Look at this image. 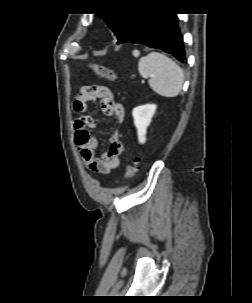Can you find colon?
<instances>
[{
    "instance_id": "1",
    "label": "colon",
    "mask_w": 252,
    "mask_h": 303,
    "mask_svg": "<svg viewBox=\"0 0 252 303\" xmlns=\"http://www.w3.org/2000/svg\"><path fill=\"white\" fill-rule=\"evenodd\" d=\"M89 67L95 74H97L98 76H100L102 78H105L109 81L117 80L116 73L112 69H110L104 65L92 63L89 65ZM137 171H138V165L136 162L128 163L126 166V171H125V176H124L125 179H130V178L134 177L136 175Z\"/></svg>"
}]
</instances>
